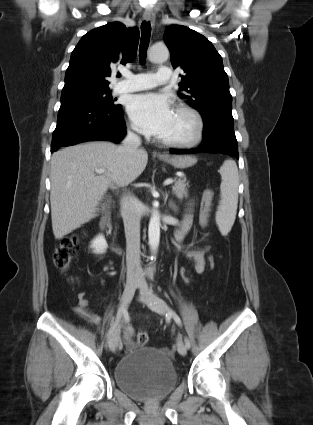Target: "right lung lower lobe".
I'll use <instances>...</instances> for the list:
<instances>
[{
    "mask_svg": "<svg viewBox=\"0 0 313 425\" xmlns=\"http://www.w3.org/2000/svg\"><path fill=\"white\" fill-rule=\"evenodd\" d=\"M126 134L122 106L106 107L78 96H61L51 152L83 141L119 142Z\"/></svg>",
    "mask_w": 313,
    "mask_h": 425,
    "instance_id": "obj_1",
    "label": "right lung lower lobe"
}]
</instances>
